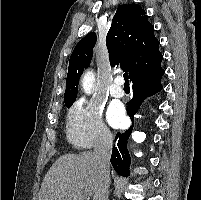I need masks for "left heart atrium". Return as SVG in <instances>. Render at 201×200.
Wrapping results in <instances>:
<instances>
[{
	"instance_id": "1",
	"label": "left heart atrium",
	"mask_w": 201,
	"mask_h": 200,
	"mask_svg": "<svg viewBox=\"0 0 201 200\" xmlns=\"http://www.w3.org/2000/svg\"><path fill=\"white\" fill-rule=\"evenodd\" d=\"M108 120L115 126L119 127L124 123V110L120 105H112L108 111Z\"/></svg>"
}]
</instances>
